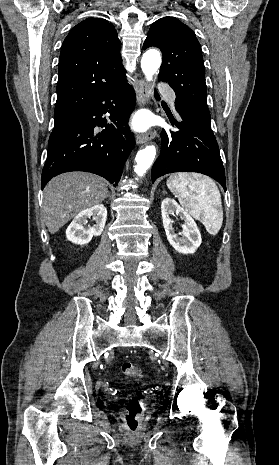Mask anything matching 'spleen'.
<instances>
[{
  "instance_id": "spleen-1",
  "label": "spleen",
  "mask_w": 279,
  "mask_h": 465,
  "mask_svg": "<svg viewBox=\"0 0 279 465\" xmlns=\"http://www.w3.org/2000/svg\"><path fill=\"white\" fill-rule=\"evenodd\" d=\"M167 187L178 197L182 207L201 221L208 233L216 235L223 222L220 191L209 177L177 173L167 180Z\"/></svg>"
}]
</instances>
